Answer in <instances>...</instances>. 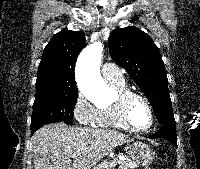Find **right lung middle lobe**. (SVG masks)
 Wrapping results in <instances>:
<instances>
[{
	"label": "right lung middle lobe",
	"instance_id": "obj_1",
	"mask_svg": "<svg viewBox=\"0 0 200 169\" xmlns=\"http://www.w3.org/2000/svg\"><path fill=\"white\" fill-rule=\"evenodd\" d=\"M77 97V88L36 92L31 129L48 123L71 121Z\"/></svg>",
	"mask_w": 200,
	"mask_h": 169
}]
</instances>
